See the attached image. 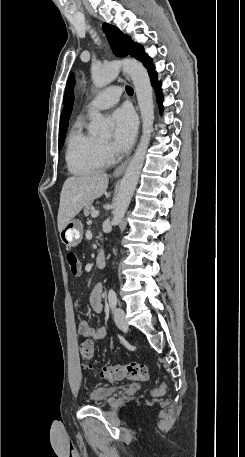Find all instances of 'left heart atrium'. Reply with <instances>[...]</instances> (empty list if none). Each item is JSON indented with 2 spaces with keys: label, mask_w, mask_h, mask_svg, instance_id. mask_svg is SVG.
Returning a JSON list of instances; mask_svg holds the SVG:
<instances>
[{
  "label": "left heart atrium",
  "mask_w": 245,
  "mask_h": 457,
  "mask_svg": "<svg viewBox=\"0 0 245 457\" xmlns=\"http://www.w3.org/2000/svg\"><path fill=\"white\" fill-rule=\"evenodd\" d=\"M114 125V146L126 149L133 141L137 119L134 112L127 107H120L112 114Z\"/></svg>",
  "instance_id": "39dd6f15"
}]
</instances>
